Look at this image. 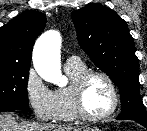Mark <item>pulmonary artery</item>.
Listing matches in <instances>:
<instances>
[{
  "mask_svg": "<svg viewBox=\"0 0 147 131\" xmlns=\"http://www.w3.org/2000/svg\"><path fill=\"white\" fill-rule=\"evenodd\" d=\"M81 63V60L77 56H70L65 61V65H79Z\"/></svg>",
  "mask_w": 147,
  "mask_h": 131,
  "instance_id": "e3ab8cb5",
  "label": "pulmonary artery"
}]
</instances>
